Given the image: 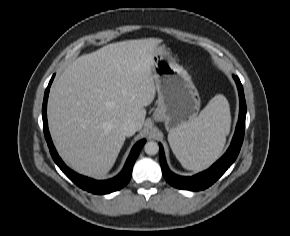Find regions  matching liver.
Here are the masks:
<instances>
[{
    "label": "liver",
    "mask_w": 290,
    "mask_h": 236,
    "mask_svg": "<svg viewBox=\"0 0 290 236\" xmlns=\"http://www.w3.org/2000/svg\"><path fill=\"white\" fill-rule=\"evenodd\" d=\"M157 38L108 44L70 64L53 84L47 107L49 130L65 163L76 172L104 177L125 142L121 126L137 131L155 98L153 53Z\"/></svg>",
    "instance_id": "1"
}]
</instances>
